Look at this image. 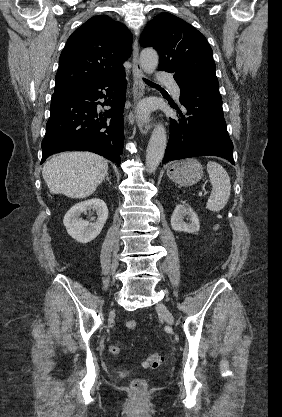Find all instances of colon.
Returning a JSON list of instances; mask_svg holds the SVG:
<instances>
[{"label": "colon", "instance_id": "obj_1", "mask_svg": "<svg viewBox=\"0 0 282 417\" xmlns=\"http://www.w3.org/2000/svg\"><path fill=\"white\" fill-rule=\"evenodd\" d=\"M126 328L131 331L137 330L138 324L135 319H129L125 323ZM122 351L120 343H113L109 346V352L113 356H118ZM161 364V355L157 352L149 353L144 362L143 366L149 369H157ZM132 402L133 403H146L147 395L150 392V385L147 384L146 379H131L130 381Z\"/></svg>", "mask_w": 282, "mask_h": 417}]
</instances>
